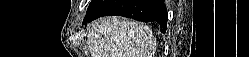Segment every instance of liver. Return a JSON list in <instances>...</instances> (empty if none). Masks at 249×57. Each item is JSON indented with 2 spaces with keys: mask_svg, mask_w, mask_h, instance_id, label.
<instances>
[{
  "mask_svg": "<svg viewBox=\"0 0 249 57\" xmlns=\"http://www.w3.org/2000/svg\"><path fill=\"white\" fill-rule=\"evenodd\" d=\"M92 57H153L156 40L143 24L119 17H103L89 24Z\"/></svg>",
  "mask_w": 249,
  "mask_h": 57,
  "instance_id": "liver-1",
  "label": "liver"
}]
</instances>
